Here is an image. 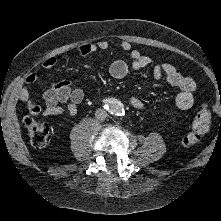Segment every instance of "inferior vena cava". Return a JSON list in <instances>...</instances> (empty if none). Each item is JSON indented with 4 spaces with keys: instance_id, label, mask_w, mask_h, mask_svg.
Segmentation results:
<instances>
[{
    "instance_id": "obj_1",
    "label": "inferior vena cava",
    "mask_w": 221,
    "mask_h": 221,
    "mask_svg": "<svg viewBox=\"0 0 221 221\" xmlns=\"http://www.w3.org/2000/svg\"><path fill=\"white\" fill-rule=\"evenodd\" d=\"M95 117L100 121H104L107 118V112L104 109L99 108L95 112Z\"/></svg>"
}]
</instances>
